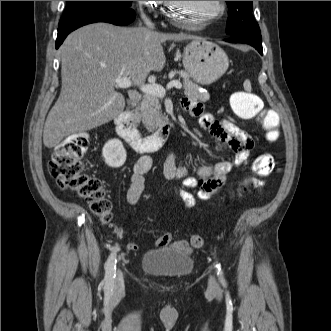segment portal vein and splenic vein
Returning <instances> with one entry per match:
<instances>
[{"instance_id":"18ae733b","label":"portal vein and splenic vein","mask_w":331,"mask_h":331,"mask_svg":"<svg viewBox=\"0 0 331 331\" xmlns=\"http://www.w3.org/2000/svg\"><path fill=\"white\" fill-rule=\"evenodd\" d=\"M115 83L119 88H129L132 85V82L128 77H119L115 79ZM173 87L181 89L182 84L177 80H173L167 84L166 89H171ZM166 89L156 83L144 84L140 87V90L145 94L156 95L158 97H164L166 94Z\"/></svg>"}]
</instances>
